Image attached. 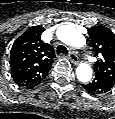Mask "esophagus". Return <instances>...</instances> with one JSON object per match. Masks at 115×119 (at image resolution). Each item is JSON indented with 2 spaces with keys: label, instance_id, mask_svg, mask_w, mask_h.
Wrapping results in <instances>:
<instances>
[{
  "label": "esophagus",
  "instance_id": "34e87169",
  "mask_svg": "<svg viewBox=\"0 0 115 119\" xmlns=\"http://www.w3.org/2000/svg\"><path fill=\"white\" fill-rule=\"evenodd\" d=\"M69 58H70V60H71V62H72L73 64H78L79 58H78L76 52L71 51V52L69 53Z\"/></svg>",
  "mask_w": 115,
  "mask_h": 119
}]
</instances>
